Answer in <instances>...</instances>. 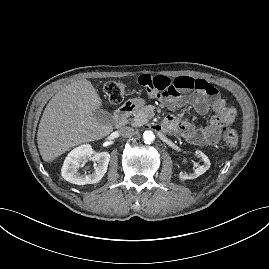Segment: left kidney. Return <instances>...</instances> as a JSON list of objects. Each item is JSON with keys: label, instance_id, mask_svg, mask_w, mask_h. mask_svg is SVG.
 <instances>
[{"label": "left kidney", "instance_id": "left-kidney-1", "mask_svg": "<svg viewBox=\"0 0 269 269\" xmlns=\"http://www.w3.org/2000/svg\"><path fill=\"white\" fill-rule=\"evenodd\" d=\"M195 155L197 157L202 158V160L204 161V164L201 165V166H198L195 169L194 173H192V174H188V173H186L184 171H181L179 173V177L182 180L195 179V178L199 177L200 175H202L203 173H205L210 168V165H211L210 160H209V158L202 151L197 150L195 152Z\"/></svg>", "mask_w": 269, "mask_h": 269}]
</instances>
